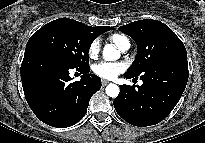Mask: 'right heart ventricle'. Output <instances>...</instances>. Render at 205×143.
Returning a JSON list of instances; mask_svg holds the SVG:
<instances>
[{
    "instance_id": "right-heart-ventricle-1",
    "label": "right heart ventricle",
    "mask_w": 205,
    "mask_h": 143,
    "mask_svg": "<svg viewBox=\"0 0 205 143\" xmlns=\"http://www.w3.org/2000/svg\"><path fill=\"white\" fill-rule=\"evenodd\" d=\"M109 38L120 49L129 42L128 37L120 33L112 34Z\"/></svg>"
}]
</instances>
